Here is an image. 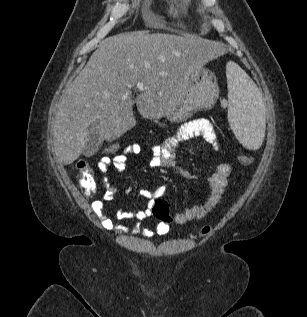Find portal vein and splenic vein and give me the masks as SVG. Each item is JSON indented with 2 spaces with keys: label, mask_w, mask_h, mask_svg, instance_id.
Returning a JSON list of instances; mask_svg holds the SVG:
<instances>
[{
  "label": "portal vein and splenic vein",
  "mask_w": 307,
  "mask_h": 317,
  "mask_svg": "<svg viewBox=\"0 0 307 317\" xmlns=\"http://www.w3.org/2000/svg\"><path fill=\"white\" fill-rule=\"evenodd\" d=\"M136 87H137L138 89L142 90V89L144 88V84L139 81V82L136 83Z\"/></svg>",
  "instance_id": "18ae733b"
}]
</instances>
